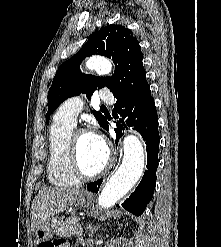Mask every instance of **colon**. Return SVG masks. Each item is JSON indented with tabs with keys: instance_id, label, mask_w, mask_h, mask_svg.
Returning <instances> with one entry per match:
<instances>
[{
	"instance_id": "obj_1",
	"label": "colon",
	"mask_w": 221,
	"mask_h": 247,
	"mask_svg": "<svg viewBox=\"0 0 221 247\" xmlns=\"http://www.w3.org/2000/svg\"><path fill=\"white\" fill-rule=\"evenodd\" d=\"M57 243H59L58 241L56 242H43L40 243L38 247H56Z\"/></svg>"
}]
</instances>
